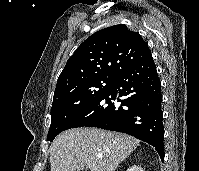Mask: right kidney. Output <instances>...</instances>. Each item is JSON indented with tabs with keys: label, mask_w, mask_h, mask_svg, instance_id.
I'll list each match as a JSON object with an SVG mask.
<instances>
[{
	"label": "right kidney",
	"mask_w": 199,
	"mask_h": 171,
	"mask_svg": "<svg viewBox=\"0 0 199 171\" xmlns=\"http://www.w3.org/2000/svg\"><path fill=\"white\" fill-rule=\"evenodd\" d=\"M127 171H144L140 166L133 165L127 169Z\"/></svg>",
	"instance_id": "right-kidney-1"
}]
</instances>
